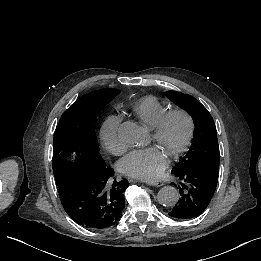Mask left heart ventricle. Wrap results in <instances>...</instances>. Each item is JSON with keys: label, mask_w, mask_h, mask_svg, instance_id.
<instances>
[{"label": "left heart ventricle", "mask_w": 261, "mask_h": 261, "mask_svg": "<svg viewBox=\"0 0 261 261\" xmlns=\"http://www.w3.org/2000/svg\"><path fill=\"white\" fill-rule=\"evenodd\" d=\"M186 130L187 125L184 119L181 117H173L167 123L162 134L157 138L153 137L151 130L147 127L148 139L145 144L150 142L155 143L165 155L168 156L169 152L182 142Z\"/></svg>", "instance_id": "left-heart-ventricle-1"}]
</instances>
